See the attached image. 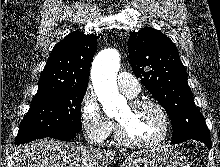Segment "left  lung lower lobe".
<instances>
[{
    "label": "left lung lower lobe",
    "instance_id": "obj_1",
    "mask_svg": "<svg viewBox=\"0 0 220 167\" xmlns=\"http://www.w3.org/2000/svg\"><path fill=\"white\" fill-rule=\"evenodd\" d=\"M193 140H198L203 142L208 148H211V139L210 137H195V138H191ZM189 140V139H187ZM186 140H178V141H172L171 144H179L181 142H184Z\"/></svg>",
    "mask_w": 220,
    "mask_h": 167
}]
</instances>
